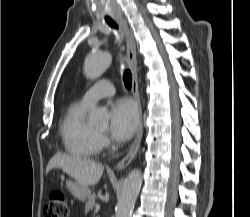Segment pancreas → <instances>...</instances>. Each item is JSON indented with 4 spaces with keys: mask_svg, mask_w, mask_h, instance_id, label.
<instances>
[{
    "mask_svg": "<svg viewBox=\"0 0 250 217\" xmlns=\"http://www.w3.org/2000/svg\"><path fill=\"white\" fill-rule=\"evenodd\" d=\"M96 205V195L95 194H92L88 201L86 202V205H85V211L86 212H89L93 209V207Z\"/></svg>",
    "mask_w": 250,
    "mask_h": 217,
    "instance_id": "obj_1",
    "label": "pancreas"
}]
</instances>
